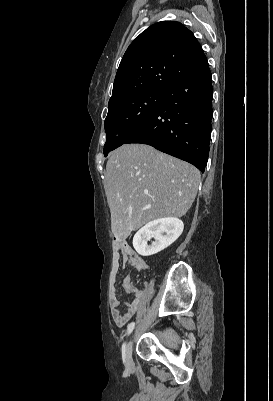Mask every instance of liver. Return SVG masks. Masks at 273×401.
Masks as SVG:
<instances>
[{"instance_id": "liver-1", "label": "liver", "mask_w": 273, "mask_h": 401, "mask_svg": "<svg viewBox=\"0 0 273 401\" xmlns=\"http://www.w3.org/2000/svg\"><path fill=\"white\" fill-rule=\"evenodd\" d=\"M200 178L198 168L149 144H122L113 150L104 188L116 241H125L132 231L154 219L183 217Z\"/></svg>"}]
</instances>
